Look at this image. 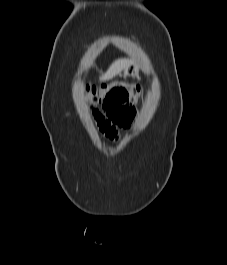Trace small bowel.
<instances>
[{"mask_svg":"<svg viewBox=\"0 0 227 265\" xmlns=\"http://www.w3.org/2000/svg\"><path fill=\"white\" fill-rule=\"evenodd\" d=\"M91 117L94 118L99 130L110 140L117 141L119 133L115 126L111 125V120L104 116L103 109H98L97 102H90Z\"/></svg>","mask_w":227,"mask_h":265,"instance_id":"obj_1","label":"small bowel"}]
</instances>
